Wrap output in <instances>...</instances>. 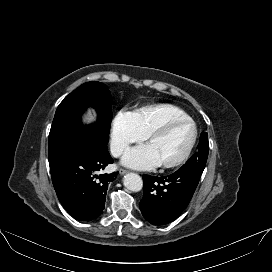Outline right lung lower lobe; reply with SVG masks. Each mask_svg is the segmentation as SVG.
I'll return each mask as SVG.
<instances>
[{"instance_id":"right-lung-lower-lobe-1","label":"right lung lower lobe","mask_w":272,"mask_h":272,"mask_svg":"<svg viewBox=\"0 0 272 272\" xmlns=\"http://www.w3.org/2000/svg\"><path fill=\"white\" fill-rule=\"evenodd\" d=\"M113 163L107 143L81 134L59 157L49 162L59 201L76 220L98 218L105 207L108 184L118 172L98 174Z\"/></svg>"}]
</instances>
